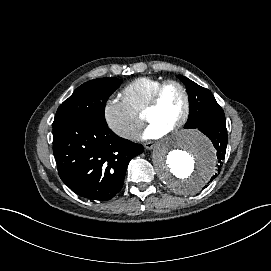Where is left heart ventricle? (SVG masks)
<instances>
[{
  "instance_id": "b2bd125f",
  "label": "left heart ventricle",
  "mask_w": 271,
  "mask_h": 271,
  "mask_svg": "<svg viewBox=\"0 0 271 271\" xmlns=\"http://www.w3.org/2000/svg\"><path fill=\"white\" fill-rule=\"evenodd\" d=\"M186 109V99L180 87L168 85L162 92L157 109L147 115L149 123H155L170 132Z\"/></svg>"
}]
</instances>
